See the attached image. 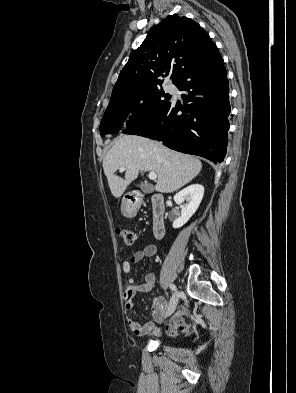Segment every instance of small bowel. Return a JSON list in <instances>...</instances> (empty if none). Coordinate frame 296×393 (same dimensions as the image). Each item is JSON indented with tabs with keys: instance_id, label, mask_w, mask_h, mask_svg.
<instances>
[{
	"instance_id": "1",
	"label": "small bowel",
	"mask_w": 296,
	"mask_h": 393,
	"mask_svg": "<svg viewBox=\"0 0 296 393\" xmlns=\"http://www.w3.org/2000/svg\"><path fill=\"white\" fill-rule=\"evenodd\" d=\"M157 246L154 244H149L136 251L128 259L123 262L122 269L126 275H129L132 270V265L142 261L143 259L153 257L157 254ZM156 281V277L153 273H148L145 275L144 282L142 284H137L135 279L128 277L125 284L124 290V306L126 310L130 311L133 309V299L138 293L149 292L153 289ZM168 311V304L164 297L154 296L151 312L155 321L159 322L163 319L164 314ZM128 325L132 332L137 335H145L148 333L158 334L160 330L155 328L152 321L146 323H139L133 318L128 319ZM188 329V324L184 320V310L181 309L177 311L166 324V331L169 334H175L177 331H185Z\"/></svg>"
}]
</instances>
